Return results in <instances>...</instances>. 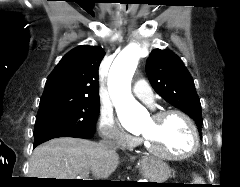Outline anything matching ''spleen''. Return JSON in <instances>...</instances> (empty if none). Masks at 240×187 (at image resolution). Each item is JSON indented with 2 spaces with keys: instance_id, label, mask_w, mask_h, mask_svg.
Returning a JSON list of instances; mask_svg holds the SVG:
<instances>
[{
  "instance_id": "obj_1",
  "label": "spleen",
  "mask_w": 240,
  "mask_h": 187,
  "mask_svg": "<svg viewBox=\"0 0 240 187\" xmlns=\"http://www.w3.org/2000/svg\"><path fill=\"white\" fill-rule=\"evenodd\" d=\"M195 181H196V182H200L199 178H197V177L195 178Z\"/></svg>"
}]
</instances>
